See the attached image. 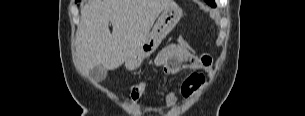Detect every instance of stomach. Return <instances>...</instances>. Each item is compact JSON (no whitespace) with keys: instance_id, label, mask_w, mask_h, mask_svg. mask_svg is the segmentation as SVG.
I'll list each match as a JSON object with an SVG mask.
<instances>
[{"instance_id":"0dacf381","label":"stomach","mask_w":305,"mask_h":116,"mask_svg":"<svg viewBox=\"0 0 305 116\" xmlns=\"http://www.w3.org/2000/svg\"><path fill=\"white\" fill-rule=\"evenodd\" d=\"M182 16L183 11L178 6L164 10L141 45L125 61L126 68L132 71L140 67L144 59L155 52L162 40L174 29Z\"/></svg>"}]
</instances>
